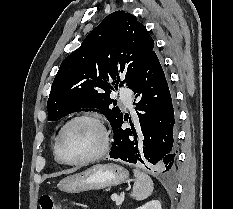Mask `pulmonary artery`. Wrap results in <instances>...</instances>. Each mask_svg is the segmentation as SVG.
Segmentation results:
<instances>
[{
    "instance_id": "obj_1",
    "label": "pulmonary artery",
    "mask_w": 233,
    "mask_h": 209,
    "mask_svg": "<svg viewBox=\"0 0 233 209\" xmlns=\"http://www.w3.org/2000/svg\"><path fill=\"white\" fill-rule=\"evenodd\" d=\"M120 98L124 105L131 107L132 105V92L128 88H122L120 91Z\"/></svg>"
}]
</instances>
